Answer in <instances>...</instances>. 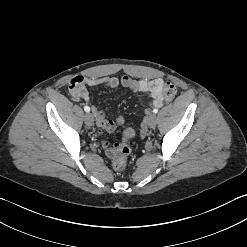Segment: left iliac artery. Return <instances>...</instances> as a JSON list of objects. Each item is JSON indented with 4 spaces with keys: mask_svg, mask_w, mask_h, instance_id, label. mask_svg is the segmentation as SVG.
Instances as JSON below:
<instances>
[{
    "mask_svg": "<svg viewBox=\"0 0 247 247\" xmlns=\"http://www.w3.org/2000/svg\"><path fill=\"white\" fill-rule=\"evenodd\" d=\"M158 112V109L157 108H155L154 110H153V113H157Z\"/></svg>",
    "mask_w": 247,
    "mask_h": 247,
    "instance_id": "1",
    "label": "left iliac artery"
}]
</instances>
